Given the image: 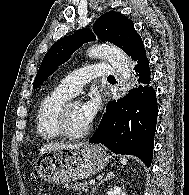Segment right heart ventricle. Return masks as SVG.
I'll use <instances>...</instances> for the list:
<instances>
[{"label": "right heart ventricle", "mask_w": 189, "mask_h": 195, "mask_svg": "<svg viewBox=\"0 0 189 195\" xmlns=\"http://www.w3.org/2000/svg\"><path fill=\"white\" fill-rule=\"evenodd\" d=\"M71 97L69 92L58 85L42 99L35 116L36 134L39 138L51 141L61 137L56 125L57 112Z\"/></svg>", "instance_id": "right-heart-ventricle-1"}]
</instances>
